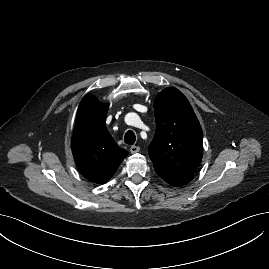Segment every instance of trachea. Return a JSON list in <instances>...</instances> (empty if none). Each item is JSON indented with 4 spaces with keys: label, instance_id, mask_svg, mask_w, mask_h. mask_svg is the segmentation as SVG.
<instances>
[{
    "label": "trachea",
    "instance_id": "3493384b",
    "mask_svg": "<svg viewBox=\"0 0 269 269\" xmlns=\"http://www.w3.org/2000/svg\"><path fill=\"white\" fill-rule=\"evenodd\" d=\"M136 141V136L133 131L129 130L126 132L124 142L128 145H133Z\"/></svg>",
    "mask_w": 269,
    "mask_h": 269
}]
</instances>
